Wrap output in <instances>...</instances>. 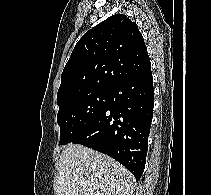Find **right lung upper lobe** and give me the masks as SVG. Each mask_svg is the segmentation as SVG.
I'll list each match as a JSON object with an SVG mask.
<instances>
[{"mask_svg": "<svg viewBox=\"0 0 211 195\" xmlns=\"http://www.w3.org/2000/svg\"><path fill=\"white\" fill-rule=\"evenodd\" d=\"M151 68L143 37L126 15H113L87 31L65 65L57 104L76 94L111 88Z\"/></svg>", "mask_w": 211, "mask_h": 195, "instance_id": "cb5924a9", "label": "right lung upper lobe"}]
</instances>
